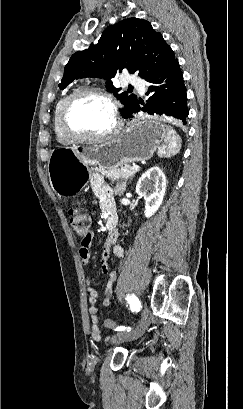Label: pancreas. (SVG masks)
<instances>
[{
	"label": "pancreas",
	"mask_w": 243,
	"mask_h": 409,
	"mask_svg": "<svg viewBox=\"0 0 243 409\" xmlns=\"http://www.w3.org/2000/svg\"><path fill=\"white\" fill-rule=\"evenodd\" d=\"M97 171L100 172L103 176L111 179L112 181L120 179L126 180L133 177L137 172V170L132 169V167L129 165L112 169L99 168L97 169Z\"/></svg>",
	"instance_id": "pancreas-1"
}]
</instances>
